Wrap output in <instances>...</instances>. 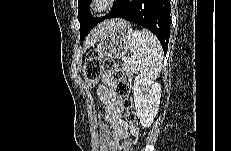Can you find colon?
<instances>
[{"mask_svg": "<svg viewBox=\"0 0 231 151\" xmlns=\"http://www.w3.org/2000/svg\"><path fill=\"white\" fill-rule=\"evenodd\" d=\"M103 73L111 74L116 80L115 94L123 99V107L128 119L134 121L133 101L129 96L131 90L130 85L124 79V74L117 63L111 59L100 57H93L86 60L84 64V77L88 84H96ZM99 132L101 143L100 151H110V130L102 114H99ZM131 147L132 140L128 139L117 147V151H130Z\"/></svg>", "mask_w": 231, "mask_h": 151, "instance_id": "obj_1", "label": "colon"}]
</instances>
